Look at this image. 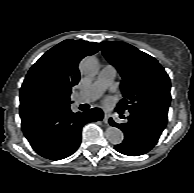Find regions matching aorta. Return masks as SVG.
<instances>
[{
	"label": "aorta",
	"mask_w": 194,
	"mask_h": 193,
	"mask_svg": "<svg viewBox=\"0 0 194 193\" xmlns=\"http://www.w3.org/2000/svg\"><path fill=\"white\" fill-rule=\"evenodd\" d=\"M80 69L86 76H95L99 71V62L95 57L87 56L81 61ZM105 136L107 140L114 145L122 143L124 139L123 132L119 128L113 126H109L106 129Z\"/></svg>",
	"instance_id": "obj_1"
}]
</instances>
